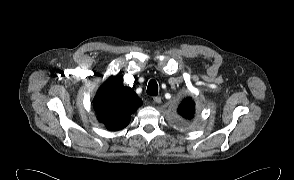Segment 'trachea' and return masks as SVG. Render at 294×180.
<instances>
[{"mask_svg":"<svg viewBox=\"0 0 294 180\" xmlns=\"http://www.w3.org/2000/svg\"><path fill=\"white\" fill-rule=\"evenodd\" d=\"M147 93L152 96H156L158 94V85L154 79L149 81Z\"/></svg>","mask_w":294,"mask_h":180,"instance_id":"obj_1","label":"trachea"}]
</instances>
